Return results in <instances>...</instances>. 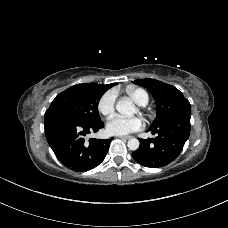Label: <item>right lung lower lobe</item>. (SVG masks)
<instances>
[{
  "mask_svg": "<svg viewBox=\"0 0 228 228\" xmlns=\"http://www.w3.org/2000/svg\"><path fill=\"white\" fill-rule=\"evenodd\" d=\"M103 127L102 121L87 123L62 112L45 113L44 128L50 147L63 165L78 172L91 170L104 160L110 140H85L87 134Z\"/></svg>",
  "mask_w": 228,
  "mask_h": 228,
  "instance_id": "obj_1",
  "label": "right lung lower lobe"
}]
</instances>
